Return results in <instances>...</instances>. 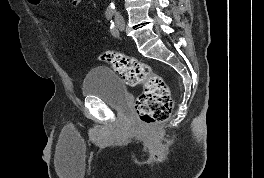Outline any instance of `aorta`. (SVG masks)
Here are the masks:
<instances>
[{"label": "aorta", "instance_id": "762f6f07", "mask_svg": "<svg viewBox=\"0 0 264 178\" xmlns=\"http://www.w3.org/2000/svg\"><path fill=\"white\" fill-rule=\"evenodd\" d=\"M109 8H110V9H114V8H115L114 4L111 3L110 6H109Z\"/></svg>", "mask_w": 264, "mask_h": 178}]
</instances>
